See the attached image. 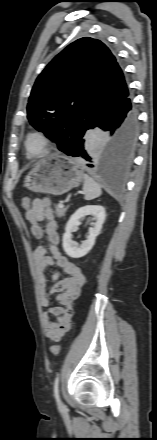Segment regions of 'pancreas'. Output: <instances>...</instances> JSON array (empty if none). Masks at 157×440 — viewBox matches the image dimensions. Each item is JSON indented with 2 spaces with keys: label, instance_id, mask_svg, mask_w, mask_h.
<instances>
[{
  "label": "pancreas",
  "instance_id": "pancreas-1",
  "mask_svg": "<svg viewBox=\"0 0 157 440\" xmlns=\"http://www.w3.org/2000/svg\"><path fill=\"white\" fill-rule=\"evenodd\" d=\"M67 211V207H62L61 205H55V213L58 217H63Z\"/></svg>",
  "mask_w": 157,
  "mask_h": 440
}]
</instances>
